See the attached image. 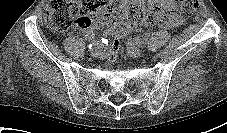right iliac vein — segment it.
I'll return each mask as SVG.
<instances>
[{"mask_svg":"<svg viewBox=\"0 0 227 133\" xmlns=\"http://www.w3.org/2000/svg\"><path fill=\"white\" fill-rule=\"evenodd\" d=\"M90 53H91V56L97 57V56H99V55L102 53V50L99 49V48H97V49H92Z\"/></svg>","mask_w":227,"mask_h":133,"instance_id":"63e3f726","label":"right iliac vein"}]
</instances>
